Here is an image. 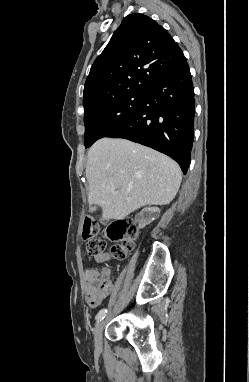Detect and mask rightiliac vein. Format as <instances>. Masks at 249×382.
Returning <instances> with one entry per match:
<instances>
[{
	"label": "right iliac vein",
	"mask_w": 249,
	"mask_h": 382,
	"mask_svg": "<svg viewBox=\"0 0 249 382\" xmlns=\"http://www.w3.org/2000/svg\"><path fill=\"white\" fill-rule=\"evenodd\" d=\"M105 321H100L94 328V342L96 347L100 348L102 345V333L104 329Z\"/></svg>",
	"instance_id": "63e3f726"
}]
</instances>
